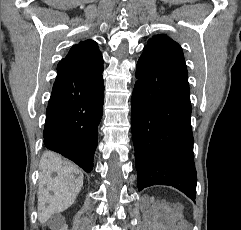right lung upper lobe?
<instances>
[{"mask_svg": "<svg viewBox=\"0 0 241 230\" xmlns=\"http://www.w3.org/2000/svg\"><path fill=\"white\" fill-rule=\"evenodd\" d=\"M67 60L75 68L92 71L103 70V58L95 41L86 40L74 45L68 55L61 61Z\"/></svg>", "mask_w": 241, "mask_h": 230, "instance_id": "right-lung-upper-lobe-1", "label": "right lung upper lobe"}]
</instances>
